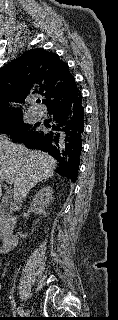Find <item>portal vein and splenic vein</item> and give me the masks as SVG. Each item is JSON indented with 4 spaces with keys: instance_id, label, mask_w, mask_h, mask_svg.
<instances>
[{
    "instance_id": "obj_1",
    "label": "portal vein and splenic vein",
    "mask_w": 118,
    "mask_h": 320,
    "mask_svg": "<svg viewBox=\"0 0 118 320\" xmlns=\"http://www.w3.org/2000/svg\"><path fill=\"white\" fill-rule=\"evenodd\" d=\"M4 182H6V183H8V184H12L13 183V181H11V180H9V179H2ZM1 180V181H2Z\"/></svg>"
}]
</instances>
